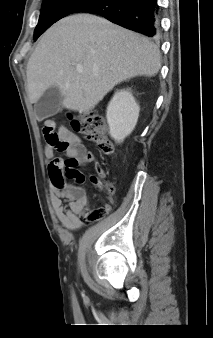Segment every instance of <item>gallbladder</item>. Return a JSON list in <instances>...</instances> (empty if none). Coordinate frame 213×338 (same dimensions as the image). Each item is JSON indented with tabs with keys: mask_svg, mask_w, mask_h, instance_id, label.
<instances>
[{
	"mask_svg": "<svg viewBox=\"0 0 213 338\" xmlns=\"http://www.w3.org/2000/svg\"><path fill=\"white\" fill-rule=\"evenodd\" d=\"M63 96L57 86L48 88L35 103V115L39 120L55 115L61 107Z\"/></svg>",
	"mask_w": 213,
	"mask_h": 338,
	"instance_id": "obj_1",
	"label": "gallbladder"
}]
</instances>
